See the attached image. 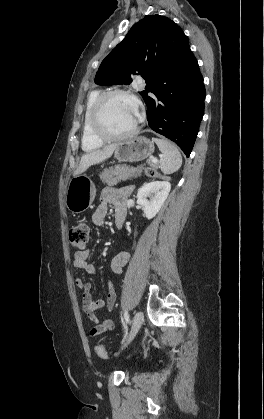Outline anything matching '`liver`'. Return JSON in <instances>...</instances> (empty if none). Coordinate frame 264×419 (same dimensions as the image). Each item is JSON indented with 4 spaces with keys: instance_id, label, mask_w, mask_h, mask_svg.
<instances>
[{
    "instance_id": "obj_1",
    "label": "liver",
    "mask_w": 264,
    "mask_h": 419,
    "mask_svg": "<svg viewBox=\"0 0 264 419\" xmlns=\"http://www.w3.org/2000/svg\"><path fill=\"white\" fill-rule=\"evenodd\" d=\"M117 144H111L103 149L93 150L89 153L84 154L81 157L79 166L74 172V176L80 175L85 172L91 165L98 164L104 160L110 158L115 151Z\"/></svg>"
}]
</instances>
